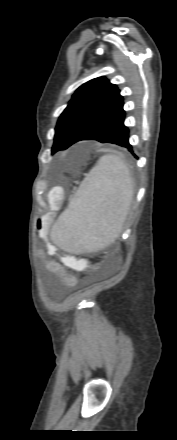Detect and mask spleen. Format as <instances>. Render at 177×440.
I'll return each mask as SVG.
<instances>
[{
    "instance_id": "1",
    "label": "spleen",
    "mask_w": 177,
    "mask_h": 440,
    "mask_svg": "<svg viewBox=\"0 0 177 440\" xmlns=\"http://www.w3.org/2000/svg\"><path fill=\"white\" fill-rule=\"evenodd\" d=\"M132 195L127 164L116 155L102 156L54 224L52 241L71 253L104 248L120 235Z\"/></svg>"
}]
</instances>
